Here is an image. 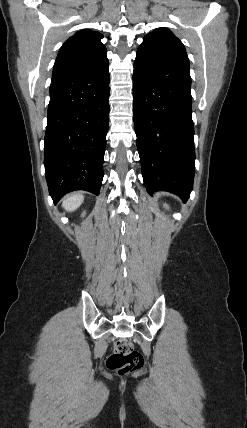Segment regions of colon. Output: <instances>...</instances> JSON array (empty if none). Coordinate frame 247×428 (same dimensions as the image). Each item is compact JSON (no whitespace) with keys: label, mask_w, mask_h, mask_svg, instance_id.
I'll use <instances>...</instances> for the list:
<instances>
[{"label":"colon","mask_w":247,"mask_h":428,"mask_svg":"<svg viewBox=\"0 0 247 428\" xmlns=\"http://www.w3.org/2000/svg\"><path fill=\"white\" fill-rule=\"evenodd\" d=\"M106 365L108 369L123 375L142 367L143 357L129 341L120 340L108 356Z\"/></svg>","instance_id":"1"}]
</instances>
